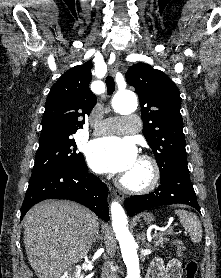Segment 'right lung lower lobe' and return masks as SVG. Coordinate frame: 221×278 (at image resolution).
<instances>
[{
  "instance_id": "1",
  "label": "right lung lower lobe",
  "mask_w": 221,
  "mask_h": 278,
  "mask_svg": "<svg viewBox=\"0 0 221 278\" xmlns=\"http://www.w3.org/2000/svg\"><path fill=\"white\" fill-rule=\"evenodd\" d=\"M107 187L95 175L88 173L86 164L80 169H58L29 181L21 219L36 203L45 199H69L81 203L101 219L109 220Z\"/></svg>"
}]
</instances>
